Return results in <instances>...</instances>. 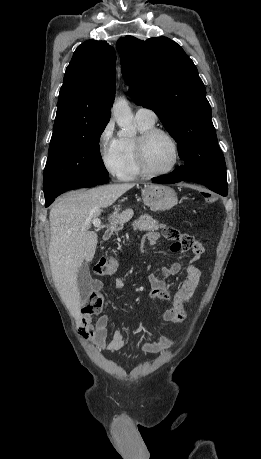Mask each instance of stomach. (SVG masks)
I'll list each match as a JSON object with an SVG mask.
<instances>
[{"mask_svg": "<svg viewBox=\"0 0 261 459\" xmlns=\"http://www.w3.org/2000/svg\"><path fill=\"white\" fill-rule=\"evenodd\" d=\"M142 198L146 206L152 211H166L173 208L177 202L176 192L166 185H145Z\"/></svg>", "mask_w": 261, "mask_h": 459, "instance_id": "obj_1", "label": "stomach"}]
</instances>
